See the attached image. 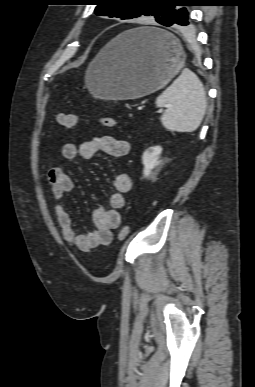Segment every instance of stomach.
<instances>
[{"instance_id":"1","label":"stomach","mask_w":255,"mask_h":387,"mask_svg":"<svg viewBox=\"0 0 255 387\" xmlns=\"http://www.w3.org/2000/svg\"><path fill=\"white\" fill-rule=\"evenodd\" d=\"M153 31L159 39L142 33ZM184 51L170 33L155 27L125 31L109 42L89 65L85 82L97 98L136 99L164 87L183 67Z\"/></svg>"}]
</instances>
